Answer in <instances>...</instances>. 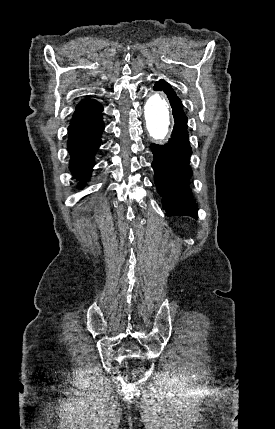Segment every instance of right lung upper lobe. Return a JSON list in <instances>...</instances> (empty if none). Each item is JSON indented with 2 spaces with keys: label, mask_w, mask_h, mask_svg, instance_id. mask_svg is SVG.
Instances as JSON below:
<instances>
[{
  "label": "right lung upper lobe",
  "mask_w": 275,
  "mask_h": 429,
  "mask_svg": "<svg viewBox=\"0 0 275 429\" xmlns=\"http://www.w3.org/2000/svg\"><path fill=\"white\" fill-rule=\"evenodd\" d=\"M102 108L103 107L100 105V103L94 100H83L77 105L76 111L73 115L71 122L79 121L90 117L91 115H94L95 113L100 111Z\"/></svg>",
  "instance_id": "obj_1"
}]
</instances>
